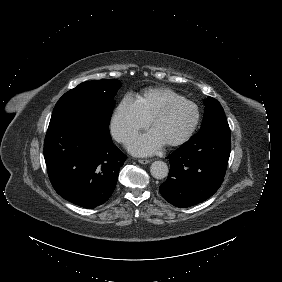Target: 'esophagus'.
Masks as SVG:
<instances>
[{
	"label": "esophagus",
	"mask_w": 282,
	"mask_h": 282,
	"mask_svg": "<svg viewBox=\"0 0 282 282\" xmlns=\"http://www.w3.org/2000/svg\"><path fill=\"white\" fill-rule=\"evenodd\" d=\"M138 162L141 164H148L151 162V160L139 159Z\"/></svg>",
	"instance_id": "34e87169"
}]
</instances>
